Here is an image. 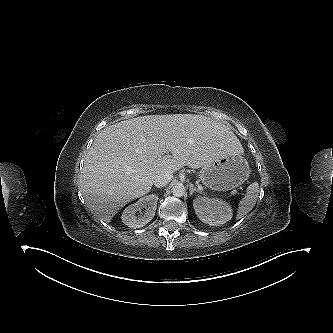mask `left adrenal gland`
<instances>
[{
    "mask_svg": "<svg viewBox=\"0 0 333 333\" xmlns=\"http://www.w3.org/2000/svg\"><path fill=\"white\" fill-rule=\"evenodd\" d=\"M189 192H190V195H193L194 192L202 193L200 190H198L196 187H194L193 184H190Z\"/></svg>",
    "mask_w": 333,
    "mask_h": 333,
    "instance_id": "a2214340",
    "label": "left adrenal gland"
}]
</instances>
